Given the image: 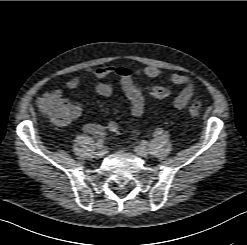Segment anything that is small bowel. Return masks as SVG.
<instances>
[{
    "mask_svg": "<svg viewBox=\"0 0 247 245\" xmlns=\"http://www.w3.org/2000/svg\"><path fill=\"white\" fill-rule=\"evenodd\" d=\"M110 75H115L119 78V84L125 97L130 103V115L132 118H139L144 113L145 98L142 88L136 83V76H146L148 78H158L166 75V71L155 67L145 66L135 70H131L124 66H101L93 69H85L82 73L75 75L66 82V87L69 89H75L80 86L86 77L91 79V85L93 90L103 97H109L113 94L115 89V83L112 81H103ZM172 83L181 85L182 90L174 98L173 104L176 108H184L194 92L193 80L182 73H173L168 78ZM49 95H56L64 98L61 90H55L45 93L39 99V105ZM66 99V98H65ZM70 105V118L69 121L77 119L82 114V107L80 104L71 102L66 99ZM67 122V123H68ZM83 131L87 134L97 137L105 138L106 130L103 126L95 123H88L83 126Z\"/></svg>",
    "mask_w": 247,
    "mask_h": 245,
    "instance_id": "obj_1",
    "label": "small bowel"
}]
</instances>
